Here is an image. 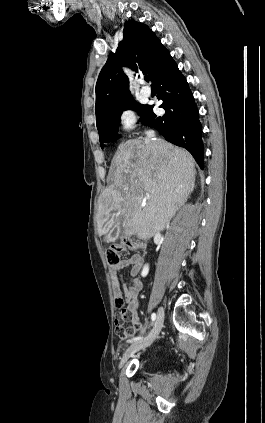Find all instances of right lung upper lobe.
Returning <instances> with one entry per match:
<instances>
[{"instance_id": "cb5924a9", "label": "right lung upper lobe", "mask_w": 265, "mask_h": 423, "mask_svg": "<svg viewBox=\"0 0 265 423\" xmlns=\"http://www.w3.org/2000/svg\"><path fill=\"white\" fill-rule=\"evenodd\" d=\"M172 57L149 27L135 20L124 24L123 40L111 52L96 83V122L100 123L118 105L131 98L129 80L122 67L149 74L153 81Z\"/></svg>"}]
</instances>
